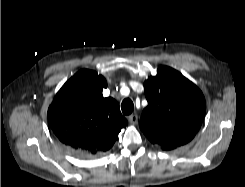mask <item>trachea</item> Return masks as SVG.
I'll list each match as a JSON object with an SVG mask.
<instances>
[{
	"label": "trachea",
	"mask_w": 245,
	"mask_h": 187,
	"mask_svg": "<svg viewBox=\"0 0 245 187\" xmlns=\"http://www.w3.org/2000/svg\"><path fill=\"white\" fill-rule=\"evenodd\" d=\"M121 109L124 115H129L134 110V104L131 99L126 98L122 101Z\"/></svg>",
	"instance_id": "3493384b"
}]
</instances>
